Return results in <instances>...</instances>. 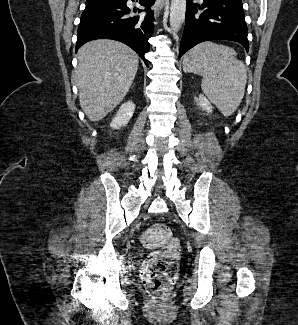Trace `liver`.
<instances>
[{"label":"liver","instance_id":"obj_1","mask_svg":"<svg viewBox=\"0 0 298 325\" xmlns=\"http://www.w3.org/2000/svg\"><path fill=\"white\" fill-rule=\"evenodd\" d=\"M76 68L79 102L96 122L126 96L138 70V54L117 40H91L78 50Z\"/></svg>","mask_w":298,"mask_h":325}]
</instances>
